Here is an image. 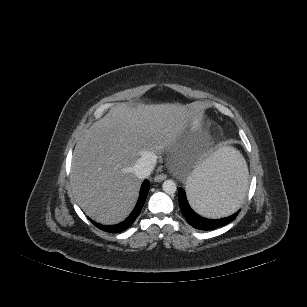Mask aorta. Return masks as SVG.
<instances>
[{"label":"aorta","mask_w":307,"mask_h":307,"mask_svg":"<svg viewBox=\"0 0 307 307\" xmlns=\"http://www.w3.org/2000/svg\"><path fill=\"white\" fill-rule=\"evenodd\" d=\"M163 191L167 194H174L177 190L176 183L173 180H165L162 185Z\"/></svg>","instance_id":"762f6f07"}]
</instances>
